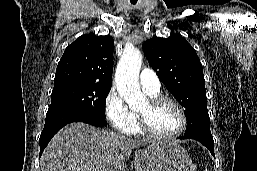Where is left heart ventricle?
<instances>
[{
	"label": "left heart ventricle",
	"mask_w": 257,
	"mask_h": 171,
	"mask_svg": "<svg viewBox=\"0 0 257 171\" xmlns=\"http://www.w3.org/2000/svg\"><path fill=\"white\" fill-rule=\"evenodd\" d=\"M138 112L146 114L151 128L156 132L170 134L180 128L181 116L170 103L151 107L147 101Z\"/></svg>",
	"instance_id": "obj_1"
}]
</instances>
